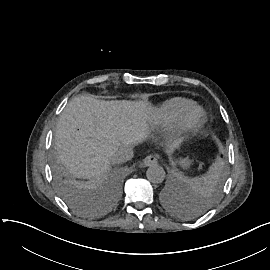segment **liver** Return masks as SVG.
<instances>
[{
    "mask_svg": "<svg viewBox=\"0 0 270 270\" xmlns=\"http://www.w3.org/2000/svg\"><path fill=\"white\" fill-rule=\"evenodd\" d=\"M152 110L146 100L74 97L56 126L54 143L58 160L76 178H106L120 148L147 139Z\"/></svg>",
    "mask_w": 270,
    "mask_h": 270,
    "instance_id": "6515ba94",
    "label": "liver"
}]
</instances>
